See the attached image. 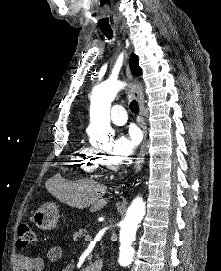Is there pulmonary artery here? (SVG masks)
I'll return each mask as SVG.
<instances>
[{
    "label": "pulmonary artery",
    "instance_id": "obj_1",
    "mask_svg": "<svg viewBox=\"0 0 221 271\" xmlns=\"http://www.w3.org/2000/svg\"><path fill=\"white\" fill-rule=\"evenodd\" d=\"M108 117H110V122H115V126H124V122L129 121V118L126 117L125 107H110Z\"/></svg>",
    "mask_w": 221,
    "mask_h": 271
}]
</instances>
